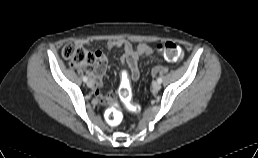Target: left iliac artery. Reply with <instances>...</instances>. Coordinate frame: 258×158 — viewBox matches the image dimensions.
<instances>
[{"label": "left iliac artery", "mask_w": 258, "mask_h": 158, "mask_svg": "<svg viewBox=\"0 0 258 158\" xmlns=\"http://www.w3.org/2000/svg\"><path fill=\"white\" fill-rule=\"evenodd\" d=\"M157 81H158L159 83H161V82H162V78H161V77H158Z\"/></svg>", "instance_id": "1"}]
</instances>
